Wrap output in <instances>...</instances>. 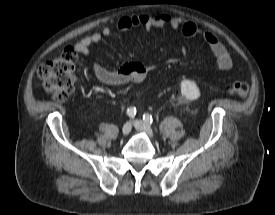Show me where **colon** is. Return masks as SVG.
<instances>
[{
	"instance_id": "colon-1",
	"label": "colon",
	"mask_w": 275,
	"mask_h": 215,
	"mask_svg": "<svg viewBox=\"0 0 275 215\" xmlns=\"http://www.w3.org/2000/svg\"><path fill=\"white\" fill-rule=\"evenodd\" d=\"M78 55L73 48H65L61 55L43 63L38 71L43 86L48 94L58 101H65L76 87V65ZM229 94L245 97L249 86L242 81H235L227 86Z\"/></svg>"
}]
</instances>
